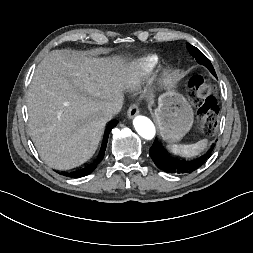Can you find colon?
Returning a JSON list of instances; mask_svg holds the SVG:
<instances>
[{
  "instance_id": "colon-1",
  "label": "colon",
  "mask_w": 253,
  "mask_h": 253,
  "mask_svg": "<svg viewBox=\"0 0 253 253\" xmlns=\"http://www.w3.org/2000/svg\"><path fill=\"white\" fill-rule=\"evenodd\" d=\"M188 94L199 105L198 123L201 132L212 134L217 126L219 104L211 82L206 76L192 77L188 82Z\"/></svg>"
}]
</instances>
